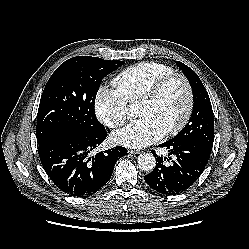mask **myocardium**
I'll return each instance as SVG.
<instances>
[{
    "label": "myocardium",
    "mask_w": 249,
    "mask_h": 249,
    "mask_svg": "<svg viewBox=\"0 0 249 249\" xmlns=\"http://www.w3.org/2000/svg\"><path fill=\"white\" fill-rule=\"evenodd\" d=\"M179 80L186 93V106L181 119L171 128L165 131L166 136L178 134L187 125L194 108V94L187 77L180 73H171L157 80L140 98V101L152 102L157 99L164 87L172 80Z\"/></svg>",
    "instance_id": "myocardium-1"
}]
</instances>
